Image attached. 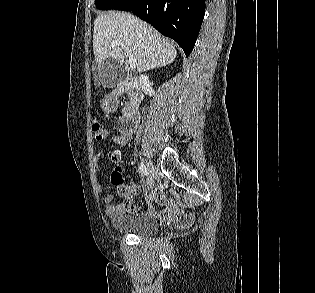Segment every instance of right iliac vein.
<instances>
[{
    "label": "right iliac vein",
    "instance_id": "obj_1",
    "mask_svg": "<svg viewBox=\"0 0 315 293\" xmlns=\"http://www.w3.org/2000/svg\"><path fill=\"white\" fill-rule=\"evenodd\" d=\"M147 167H148V171H149V188L152 189L154 186V179L157 177V170L155 169L153 163L149 160L147 162Z\"/></svg>",
    "mask_w": 315,
    "mask_h": 293
}]
</instances>
